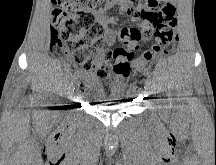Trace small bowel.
Segmentation results:
<instances>
[{"label": "small bowel", "instance_id": "1", "mask_svg": "<svg viewBox=\"0 0 216 165\" xmlns=\"http://www.w3.org/2000/svg\"><path fill=\"white\" fill-rule=\"evenodd\" d=\"M177 0H145V5L133 2L132 0H110V3L101 8L96 13L97 21L104 28V38L107 46L114 44L116 40V32L109 28L110 24L117 22V17H110L107 11L110 7L119 6L121 14H133V13H154L159 10H175V2ZM132 22L135 24L136 29L140 30L143 34L148 33L151 30V21L147 17H133ZM147 37L146 35H144ZM140 39L135 40L130 43V47L137 45ZM130 70L126 72L117 73V75L122 77H127ZM96 84H92V89H95Z\"/></svg>", "mask_w": 216, "mask_h": 165}]
</instances>
